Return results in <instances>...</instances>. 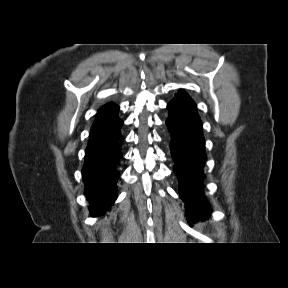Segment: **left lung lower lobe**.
Instances as JSON below:
<instances>
[{
	"label": "left lung lower lobe",
	"mask_w": 288,
	"mask_h": 288,
	"mask_svg": "<svg viewBox=\"0 0 288 288\" xmlns=\"http://www.w3.org/2000/svg\"><path fill=\"white\" fill-rule=\"evenodd\" d=\"M166 123L171 132V156L174 173L179 180L181 199L187 204V219L206 218L211 214L202 182L207 160L202 122L196 104L185 92H179L168 104Z\"/></svg>",
	"instance_id": "obj_1"
}]
</instances>
